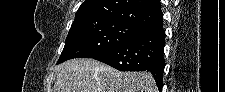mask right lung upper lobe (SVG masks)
<instances>
[{
  "mask_svg": "<svg viewBox=\"0 0 225 92\" xmlns=\"http://www.w3.org/2000/svg\"><path fill=\"white\" fill-rule=\"evenodd\" d=\"M120 22L142 32L163 25L159 0H85L71 27L83 24Z\"/></svg>",
  "mask_w": 225,
  "mask_h": 92,
  "instance_id": "1",
  "label": "right lung upper lobe"
}]
</instances>
